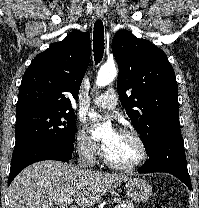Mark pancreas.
<instances>
[{"mask_svg": "<svg viewBox=\"0 0 199 208\" xmlns=\"http://www.w3.org/2000/svg\"><path fill=\"white\" fill-rule=\"evenodd\" d=\"M123 203L125 204V208H135L132 201L126 200Z\"/></svg>", "mask_w": 199, "mask_h": 208, "instance_id": "obj_1", "label": "pancreas"}]
</instances>
